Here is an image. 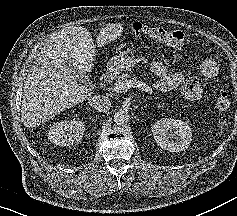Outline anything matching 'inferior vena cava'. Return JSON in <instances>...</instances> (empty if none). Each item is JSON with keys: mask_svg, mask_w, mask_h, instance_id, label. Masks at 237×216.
<instances>
[{"mask_svg": "<svg viewBox=\"0 0 237 216\" xmlns=\"http://www.w3.org/2000/svg\"><path fill=\"white\" fill-rule=\"evenodd\" d=\"M88 104L99 112H108L111 107L110 99L104 95H93L88 97Z\"/></svg>", "mask_w": 237, "mask_h": 216, "instance_id": "1", "label": "inferior vena cava"}]
</instances>
